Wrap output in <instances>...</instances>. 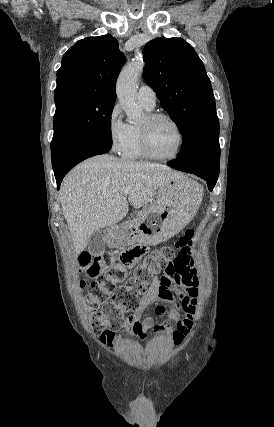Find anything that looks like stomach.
I'll return each instance as SVG.
<instances>
[{
  "label": "stomach",
  "instance_id": "0dacf381",
  "mask_svg": "<svg viewBox=\"0 0 274 427\" xmlns=\"http://www.w3.org/2000/svg\"><path fill=\"white\" fill-rule=\"evenodd\" d=\"M193 180L185 176H172L169 184L170 192L163 194L159 190L157 200L150 208L142 210L136 217L126 221L124 225H115L106 239L110 247H125L132 243L157 245L160 241L170 239L178 233L198 208V192Z\"/></svg>",
  "mask_w": 274,
  "mask_h": 427
}]
</instances>
